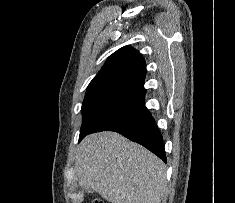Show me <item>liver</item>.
Instances as JSON below:
<instances>
[{
    "label": "liver",
    "mask_w": 235,
    "mask_h": 203,
    "mask_svg": "<svg viewBox=\"0 0 235 203\" xmlns=\"http://www.w3.org/2000/svg\"><path fill=\"white\" fill-rule=\"evenodd\" d=\"M77 181L111 203H161L164 163L143 146L116 132L86 136L75 161Z\"/></svg>",
    "instance_id": "1"
}]
</instances>
